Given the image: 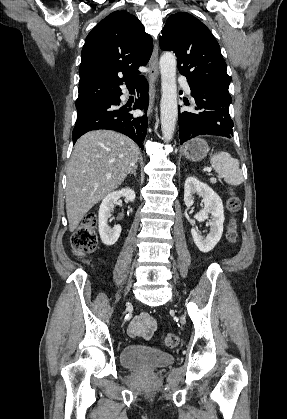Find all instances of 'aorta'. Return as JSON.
<instances>
[{"mask_svg":"<svg viewBox=\"0 0 287 419\" xmlns=\"http://www.w3.org/2000/svg\"><path fill=\"white\" fill-rule=\"evenodd\" d=\"M161 73V130L162 139L168 143L173 137L178 116L176 57L171 52H165L159 62Z\"/></svg>","mask_w":287,"mask_h":419,"instance_id":"aorta-1","label":"aorta"}]
</instances>
